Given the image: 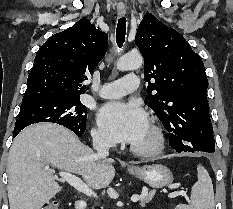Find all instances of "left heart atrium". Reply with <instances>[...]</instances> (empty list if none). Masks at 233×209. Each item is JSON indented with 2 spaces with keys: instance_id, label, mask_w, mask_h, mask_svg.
I'll use <instances>...</instances> for the list:
<instances>
[{
  "instance_id": "left-heart-atrium-1",
  "label": "left heart atrium",
  "mask_w": 233,
  "mask_h": 209,
  "mask_svg": "<svg viewBox=\"0 0 233 209\" xmlns=\"http://www.w3.org/2000/svg\"><path fill=\"white\" fill-rule=\"evenodd\" d=\"M97 120L101 130L118 142H136L148 126L144 110L134 101L104 104L98 112Z\"/></svg>"
}]
</instances>
